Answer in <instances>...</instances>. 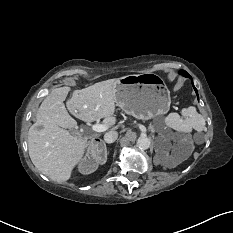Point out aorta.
<instances>
[{
    "mask_svg": "<svg viewBox=\"0 0 233 233\" xmlns=\"http://www.w3.org/2000/svg\"><path fill=\"white\" fill-rule=\"evenodd\" d=\"M151 141L148 137L146 136H141L137 140V146L140 149H148L150 147Z\"/></svg>",
    "mask_w": 233,
    "mask_h": 233,
    "instance_id": "aorta-1",
    "label": "aorta"
}]
</instances>
